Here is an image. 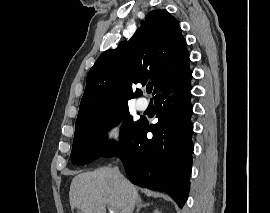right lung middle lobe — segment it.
Wrapping results in <instances>:
<instances>
[{
  "mask_svg": "<svg viewBox=\"0 0 270 213\" xmlns=\"http://www.w3.org/2000/svg\"><path fill=\"white\" fill-rule=\"evenodd\" d=\"M122 121L120 128L121 142L138 125L128 111V105L117 107L76 122L71 160L73 164H88L101 156H105L116 146V142L108 141L105 129L116 126Z\"/></svg>",
  "mask_w": 270,
  "mask_h": 213,
  "instance_id": "obj_1",
  "label": "right lung middle lobe"
}]
</instances>
